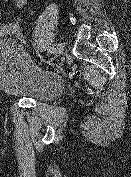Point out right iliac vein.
Returning a JSON list of instances; mask_svg holds the SVG:
<instances>
[{
	"label": "right iliac vein",
	"instance_id": "obj_1",
	"mask_svg": "<svg viewBox=\"0 0 131 177\" xmlns=\"http://www.w3.org/2000/svg\"><path fill=\"white\" fill-rule=\"evenodd\" d=\"M63 50V47L61 45H58L57 48L55 49L56 54H60Z\"/></svg>",
	"mask_w": 131,
	"mask_h": 177
}]
</instances>
